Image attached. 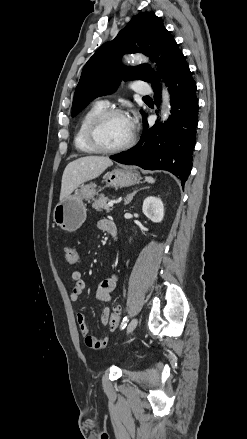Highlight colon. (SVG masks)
<instances>
[{
	"label": "colon",
	"instance_id": "1",
	"mask_svg": "<svg viewBox=\"0 0 247 439\" xmlns=\"http://www.w3.org/2000/svg\"><path fill=\"white\" fill-rule=\"evenodd\" d=\"M78 258H79V255H78V251L76 248L70 247L66 250V260L70 264H75L78 261ZM120 318H121V307L118 305V306H115L110 313V316H109L110 329L115 330L118 327Z\"/></svg>",
	"mask_w": 247,
	"mask_h": 439
}]
</instances>
